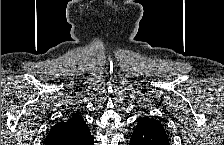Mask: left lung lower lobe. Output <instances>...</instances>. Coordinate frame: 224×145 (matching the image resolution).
<instances>
[{
    "label": "left lung lower lobe",
    "instance_id": "0a47b994",
    "mask_svg": "<svg viewBox=\"0 0 224 145\" xmlns=\"http://www.w3.org/2000/svg\"><path fill=\"white\" fill-rule=\"evenodd\" d=\"M130 142L131 145H169L167 135L149 118L138 121Z\"/></svg>",
    "mask_w": 224,
    "mask_h": 145
}]
</instances>
